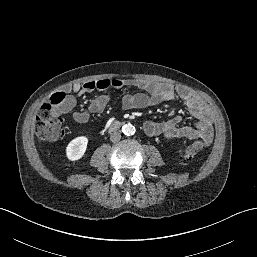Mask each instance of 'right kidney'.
Wrapping results in <instances>:
<instances>
[{
	"label": "right kidney",
	"instance_id": "ca27d5eb",
	"mask_svg": "<svg viewBox=\"0 0 257 257\" xmlns=\"http://www.w3.org/2000/svg\"><path fill=\"white\" fill-rule=\"evenodd\" d=\"M88 138L86 136H79L74 138L66 147L67 158L71 161L79 160L86 152Z\"/></svg>",
	"mask_w": 257,
	"mask_h": 257
}]
</instances>
